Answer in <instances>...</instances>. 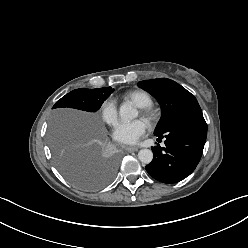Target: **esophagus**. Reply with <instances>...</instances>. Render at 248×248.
Listing matches in <instances>:
<instances>
[{
  "label": "esophagus",
  "mask_w": 248,
  "mask_h": 248,
  "mask_svg": "<svg viewBox=\"0 0 248 248\" xmlns=\"http://www.w3.org/2000/svg\"><path fill=\"white\" fill-rule=\"evenodd\" d=\"M126 152H136L138 151V147H124Z\"/></svg>",
  "instance_id": "esophagus-1"
}]
</instances>
